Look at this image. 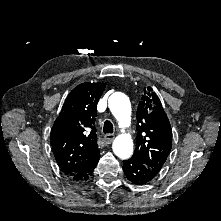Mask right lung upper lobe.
<instances>
[{
	"label": "right lung upper lobe",
	"mask_w": 221,
	"mask_h": 221,
	"mask_svg": "<svg viewBox=\"0 0 221 221\" xmlns=\"http://www.w3.org/2000/svg\"><path fill=\"white\" fill-rule=\"evenodd\" d=\"M105 86V83H83L74 88L51 129L55 159L68 177L83 170L99 154L94 123Z\"/></svg>",
	"instance_id": "obj_1"
}]
</instances>
